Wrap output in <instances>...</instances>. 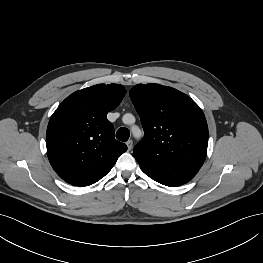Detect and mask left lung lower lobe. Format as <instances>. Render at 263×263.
<instances>
[{"mask_svg": "<svg viewBox=\"0 0 263 263\" xmlns=\"http://www.w3.org/2000/svg\"><path fill=\"white\" fill-rule=\"evenodd\" d=\"M142 170L153 180L170 187L185 184L196 175L194 172L173 164H164L152 172Z\"/></svg>", "mask_w": 263, "mask_h": 263, "instance_id": "1", "label": "left lung lower lobe"}]
</instances>
